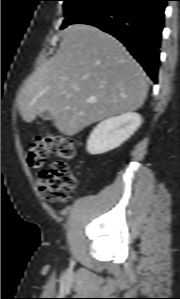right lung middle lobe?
Masks as SVG:
<instances>
[{"instance_id": "obj_1", "label": "right lung middle lobe", "mask_w": 180, "mask_h": 299, "mask_svg": "<svg viewBox=\"0 0 180 299\" xmlns=\"http://www.w3.org/2000/svg\"><path fill=\"white\" fill-rule=\"evenodd\" d=\"M65 20L61 26V29L65 28L67 25L73 23L82 14L87 12L89 9L97 5L103 0H63Z\"/></svg>"}]
</instances>
